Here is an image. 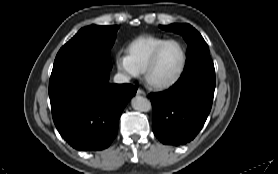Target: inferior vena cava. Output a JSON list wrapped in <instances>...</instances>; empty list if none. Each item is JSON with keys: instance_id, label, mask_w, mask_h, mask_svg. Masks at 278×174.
Returning a JSON list of instances; mask_svg holds the SVG:
<instances>
[{"instance_id": "inferior-vena-cava-1", "label": "inferior vena cava", "mask_w": 278, "mask_h": 174, "mask_svg": "<svg viewBox=\"0 0 278 174\" xmlns=\"http://www.w3.org/2000/svg\"><path fill=\"white\" fill-rule=\"evenodd\" d=\"M130 81V77L128 75L117 73L114 76V82L117 84L128 83Z\"/></svg>"}]
</instances>
